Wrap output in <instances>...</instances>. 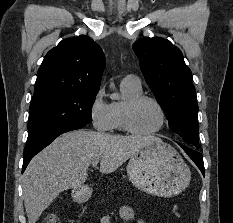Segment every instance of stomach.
I'll return each instance as SVG.
<instances>
[{
  "mask_svg": "<svg viewBox=\"0 0 233 223\" xmlns=\"http://www.w3.org/2000/svg\"><path fill=\"white\" fill-rule=\"evenodd\" d=\"M127 175L141 191L159 197H172L181 193L190 183L191 171L168 143L152 141L142 147L138 153L131 155L127 167ZM75 197H85L79 187L75 189Z\"/></svg>",
  "mask_w": 233,
  "mask_h": 223,
  "instance_id": "stomach-1",
  "label": "stomach"
}]
</instances>
